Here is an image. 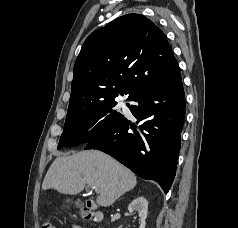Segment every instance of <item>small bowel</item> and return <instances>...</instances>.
Returning a JSON list of instances; mask_svg holds the SVG:
<instances>
[{
	"instance_id": "small-bowel-1",
	"label": "small bowel",
	"mask_w": 238,
	"mask_h": 228,
	"mask_svg": "<svg viewBox=\"0 0 238 228\" xmlns=\"http://www.w3.org/2000/svg\"><path fill=\"white\" fill-rule=\"evenodd\" d=\"M72 228H85V227L80 226V225H73Z\"/></svg>"
}]
</instances>
